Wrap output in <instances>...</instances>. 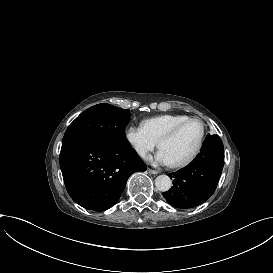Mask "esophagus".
Masks as SVG:
<instances>
[{
    "instance_id": "34e87169",
    "label": "esophagus",
    "mask_w": 273,
    "mask_h": 273,
    "mask_svg": "<svg viewBox=\"0 0 273 273\" xmlns=\"http://www.w3.org/2000/svg\"><path fill=\"white\" fill-rule=\"evenodd\" d=\"M147 172H148L149 174H158V173H159L158 171L153 170V169H150V168L147 169Z\"/></svg>"
}]
</instances>
